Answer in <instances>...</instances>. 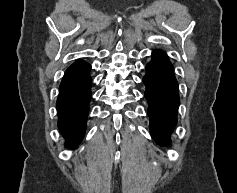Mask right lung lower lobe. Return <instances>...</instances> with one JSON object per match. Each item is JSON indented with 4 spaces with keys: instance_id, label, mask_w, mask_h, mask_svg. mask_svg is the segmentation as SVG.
Returning a JSON list of instances; mask_svg holds the SVG:
<instances>
[{
    "instance_id": "98d812e1",
    "label": "right lung lower lobe",
    "mask_w": 237,
    "mask_h": 193,
    "mask_svg": "<svg viewBox=\"0 0 237 193\" xmlns=\"http://www.w3.org/2000/svg\"><path fill=\"white\" fill-rule=\"evenodd\" d=\"M90 69V64L78 60L67 69L60 84L58 127L69 147H75L84 137L91 98Z\"/></svg>"
}]
</instances>
